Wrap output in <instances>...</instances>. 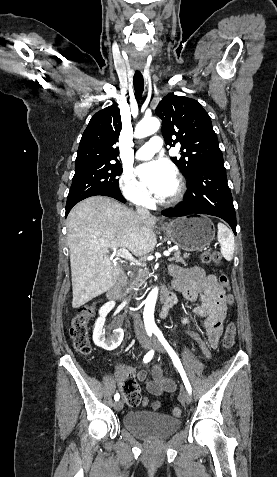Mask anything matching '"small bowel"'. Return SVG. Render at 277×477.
I'll use <instances>...</instances> for the list:
<instances>
[{"label": "small bowel", "mask_w": 277, "mask_h": 477, "mask_svg": "<svg viewBox=\"0 0 277 477\" xmlns=\"http://www.w3.org/2000/svg\"><path fill=\"white\" fill-rule=\"evenodd\" d=\"M170 270L175 277L174 285L184 298L194 301L200 297L202 301V304L195 308L194 314L202 319L203 335L193 331L189 332V335L197 342L204 354L209 357L208 348L217 346L224 329L223 324L228 307L225 304L227 299L226 287L214 275L205 274L200 267L183 269L172 266ZM122 372L125 381L132 380L135 382L131 368L125 367ZM136 378L138 381L144 382L147 391L155 396L164 392H173L176 389L175 382L165 376L158 365L152 367L151 378L144 371L137 372ZM141 404L148 405L149 400L143 398Z\"/></svg>", "instance_id": "1"}]
</instances>
